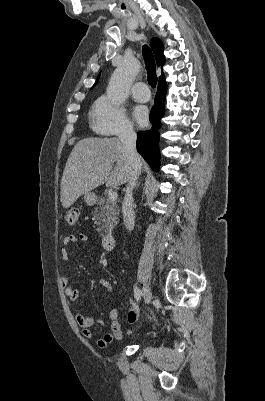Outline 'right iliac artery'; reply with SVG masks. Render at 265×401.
Instances as JSON below:
<instances>
[{"mask_svg":"<svg viewBox=\"0 0 265 401\" xmlns=\"http://www.w3.org/2000/svg\"><path fill=\"white\" fill-rule=\"evenodd\" d=\"M134 293H135L136 300L139 302L140 299H141V295H142L141 290L139 288L135 287L134 288Z\"/></svg>","mask_w":265,"mask_h":401,"instance_id":"obj_1","label":"right iliac artery"}]
</instances>
